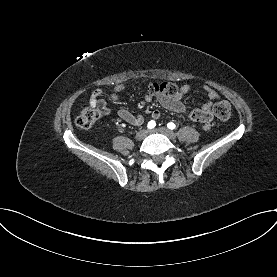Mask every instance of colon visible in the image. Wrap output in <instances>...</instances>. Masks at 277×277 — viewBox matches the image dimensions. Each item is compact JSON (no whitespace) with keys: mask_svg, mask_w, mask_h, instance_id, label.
Returning a JSON list of instances; mask_svg holds the SVG:
<instances>
[{"mask_svg":"<svg viewBox=\"0 0 277 277\" xmlns=\"http://www.w3.org/2000/svg\"><path fill=\"white\" fill-rule=\"evenodd\" d=\"M177 91V87L172 83H154L148 87V92L152 95L173 96ZM214 113L220 120L226 121L231 117V106L227 101H221L214 106ZM99 117L100 111L98 109L86 107L75 119V124L81 129H89Z\"/></svg>","mask_w":277,"mask_h":277,"instance_id":"5ec220e1","label":"colon"}]
</instances>
